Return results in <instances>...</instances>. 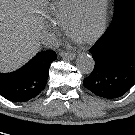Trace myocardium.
<instances>
[{
    "label": "myocardium",
    "instance_id": "1",
    "mask_svg": "<svg viewBox=\"0 0 135 135\" xmlns=\"http://www.w3.org/2000/svg\"><path fill=\"white\" fill-rule=\"evenodd\" d=\"M90 0H83L78 8V10L75 12V14L71 17V19L68 21L66 25V32L67 35L75 40L76 42L84 45L92 44L96 41H98L105 33L107 29V23H108V11L110 6V0H104L103 6L100 10L99 18H98V25L95 30V32L87 39L83 41H78L73 37V27L87 14L88 12V4Z\"/></svg>",
    "mask_w": 135,
    "mask_h": 135
}]
</instances>
